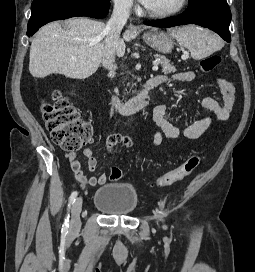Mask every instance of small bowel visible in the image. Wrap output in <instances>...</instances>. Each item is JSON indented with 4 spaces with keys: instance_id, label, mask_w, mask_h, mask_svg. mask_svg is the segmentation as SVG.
Returning <instances> with one entry per match:
<instances>
[{
    "instance_id": "obj_1",
    "label": "small bowel",
    "mask_w": 255,
    "mask_h": 272,
    "mask_svg": "<svg viewBox=\"0 0 255 272\" xmlns=\"http://www.w3.org/2000/svg\"><path fill=\"white\" fill-rule=\"evenodd\" d=\"M155 78L159 80L160 84L166 82L169 79L178 82H191L195 78V74L192 71H182L172 74L171 76L160 74L155 76ZM217 85L222 95V101L220 102L211 97L204 98L202 100V106L210 112V115L195 120L183 130L176 128L167 119L169 112V107L167 105L156 106L152 112V119L157 125L158 130L154 134L152 140L153 145L159 146L161 145L164 138L172 140L177 138L179 135H183L188 139H197L207 131L213 119L218 122L227 120L235 103V87L231 81L224 78H218ZM118 144H122L129 148L132 146L133 142L129 136L122 134H111L106 139V148L110 153ZM83 155L87 158L89 171H95L97 167V160L93 156V150L90 147H85L83 149ZM68 159L74 172L75 178L81 185H103L108 181V176L106 174H102L100 176H91L88 178L85 175L83 167L75 152H69Z\"/></svg>"
}]
</instances>
